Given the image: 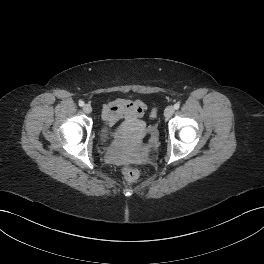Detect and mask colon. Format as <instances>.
<instances>
[{"label": "colon", "instance_id": "obj_1", "mask_svg": "<svg viewBox=\"0 0 264 264\" xmlns=\"http://www.w3.org/2000/svg\"><path fill=\"white\" fill-rule=\"evenodd\" d=\"M155 116H156V110L154 109L151 113V117L154 118ZM122 174L125 180L130 183L135 182L139 177L138 170L131 166H124L122 168Z\"/></svg>", "mask_w": 264, "mask_h": 264}]
</instances>
